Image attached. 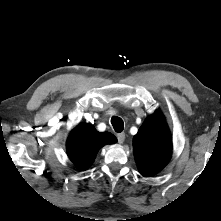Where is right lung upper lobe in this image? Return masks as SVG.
<instances>
[{"label": "right lung upper lobe", "mask_w": 221, "mask_h": 221, "mask_svg": "<svg viewBox=\"0 0 221 221\" xmlns=\"http://www.w3.org/2000/svg\"><path fill=\"white\" fill-rule=\"evenodd\" d=\"M116 142V137L109 132L100 133L91 124H79L70 133L66 149L70 160L85 170L93 163L101 147Z\"/></svg>", "instance_id": "1"}]
</instances>
